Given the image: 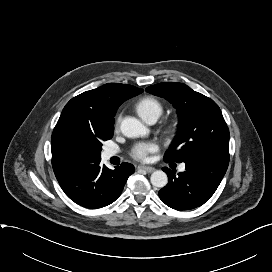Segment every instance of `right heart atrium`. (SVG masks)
<instances>
[{
    "label": "right heart atrium",
    "mask_w": 272,
    "mask_h": 272,
    "mask_svg": "<svg viewBox=\"0 0 272 272\" xmlns=\"http://www.w3.org/2000/svg\"><path fill=\"white\" fill-rule=\"evenodd\" d=\"M118 123H119V119H118L117 122H116V126L118 125Z\"/></svg>",
    "instance_id": "1"
}]
</instances>
